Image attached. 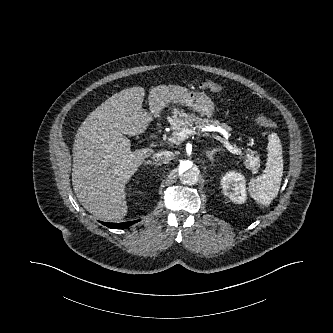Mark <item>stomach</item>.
I'll use <instances>...</instances> for the list:
<instances>
[{"label": "stomach", "instance_id": "obj_1", "mask_svg": "<svg viewBox=\"0 0 333 333\" xmlns=\"http://www.w3.org/2000/svg\"><path fill=\"white\" fill-rule=\"evenodd\" d=\"M173 104H180L190 107L201 116L211 117L214 112L213 101L204 93L186 91L180 98L172 101Z\"/></svg>", "mask_w": 333, "mask_h": 333}]
</instances>
